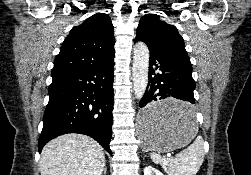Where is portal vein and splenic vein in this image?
<instances>
[{"instance_id":"portal-vein-and-splenic-vein-1","label":"portal vein and splenic vein","mask_w":251,"mask_h":175,"mask_svg":"<svg viewBox=\"0 0 251 175\" xmlns=\"http://www.w3.org/2000/svg\"><path fill=\"white\" fill-rule=\"evenodd\" d=\"M176 152L175 151H168L167 153L164 154L165 158H170L171 156H175Z\"/></svg>"}]
</instances>
